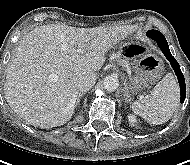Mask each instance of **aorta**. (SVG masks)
<instances>
[{"label": "aorta", "mask_w": 190, "mask_h": 165, "mask_svg": "<svg viewBox=\"0 0 190 165\" xmlns=\"http://www.w3.org/2000/svg\"><path fill=\"white\" fill-rule=\"evenodd\" d=\"M119 86V79L116 75H108L103 80V87L106 91L113 92Z\"/></svg>", "instance_id": "aorta-1"}]
</instances>
